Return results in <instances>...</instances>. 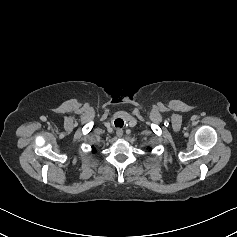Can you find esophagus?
Masks as SVG:
<instances>
[{"label": "esophagus", "instance_id": "esophagus-1", "mask_svg": "<svg viewBox=\"0 0 237 237\" xmlns=\"http://www.w3.org/2000/svg\"><path fill=\"white\" fill-rule=\"evenodd\" d=\"M116 134H117L118 137H121L123 135V131L121 129H118L116 131Z\"/></svg>", "mask_w": 237, "mask_h": 237}]
</instances>
